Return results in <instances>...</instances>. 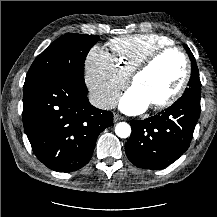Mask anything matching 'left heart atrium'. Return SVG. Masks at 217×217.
Here are the masks:
<instances>
[{
  "label": "left heart atrium",
  "mask_w": 217,
  "mask_h": 217,
  "mask_svg": "<svg viewBox=\"0 0 217 217\" xmlns=\"http://www.w3.org/2000/svg\"><path fill=\"white\" fill-rule=\"evenodd\" d=\"M149 104V101L134 87L123 95L119 103L120 108L130 114L144 111Z\"/></svg>",
  "instance_id": "39dd6f15"
}]
</instances>
